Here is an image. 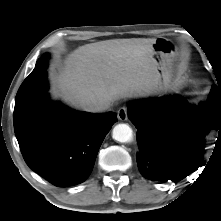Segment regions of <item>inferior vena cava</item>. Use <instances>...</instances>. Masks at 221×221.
Returning <instances> with one entry per match:
<instances>
[{"label":"inferior vena cava","instance_id":"602c4592","mask_svg":"<svg viewBox=\"0 0 221 221\" xmlns=\"http://www.w3.org/2000/svg\"><path fill=\"white\" fill-rule=\"evenodd\" d=\"M110 107V103L105 100H99L85 106L84 110L88 112H102Z\"/></svg>","mask_w":221,"mask_h":221}]
</instances>
